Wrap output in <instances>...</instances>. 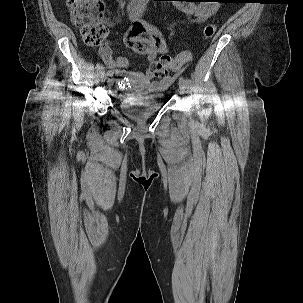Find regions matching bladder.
Masks as SVG:
<instances>
[{"label": "bladder", "instance_id": "bladder-1", "mask_svg": "<svg viewBox=\"0 0 303 303\" xmlns=\"http://www.w3.org/2000/svg\"><path fill=\"white\" fill-rule=\"evenodd\" d=\"M163 105L162 94H151L147 96L136 95L134 97H124L121 100L123 113L134 120H142L147 116L157 112Z\"/></svg>", "mask_w": 303, "mask_h": 303}]
</instances>
